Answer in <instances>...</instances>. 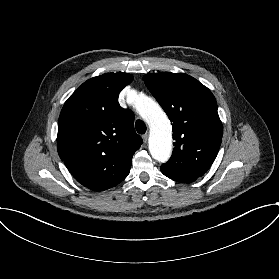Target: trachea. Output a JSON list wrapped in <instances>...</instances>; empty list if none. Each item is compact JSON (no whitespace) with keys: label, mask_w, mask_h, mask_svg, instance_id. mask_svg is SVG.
<instances>
[{"label":"trachea","mask_w":279,"mask_h":279,"mask_svg":"<svg viewBox=\"0 0 279 279\" xmlns=\"http://www.w3.org/2000/svg\"><path fill=\"white\" fill-rule=\"evenodd\" d=\"M135 128H136L137 132L140 134H144L146 132V125L141 120L136 121Z\"/></svg>","instance_id":"obj_1"}]
</instances>
